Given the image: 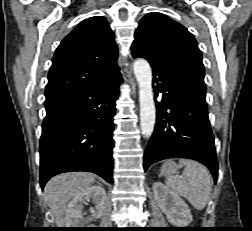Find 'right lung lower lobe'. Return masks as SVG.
Listing matches in <instances>:
<instances>
[{
    "label": "right lung lower lobe",
    "mask_w": 252,
    "mask_h": 231,
    "mask_svg": "<svg viewBox=\"0 0 252 231\" xmlns=\"http://www.w3.org/2000/svg\"><path fill=\"white\" fill-rule=\"evenodd\" d=\"M122 77L87 87L46 110L40 140V185L68 171L112 183L113 117Z\"/></svg>",
    "instance_id": "1"
}]
</instances>
